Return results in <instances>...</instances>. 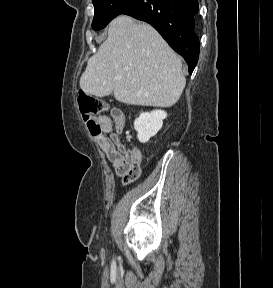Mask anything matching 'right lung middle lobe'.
Listing matches in <instances>:
<instances>
[{
	"instance_id": "obj_1",
	"label": "right lung middle lobe",
	"mask_w": 273,
	"mask_h": 288,
	"mask_svg": "<svg viewBox=\"0 0 273 288\" xmlns=\"http://www.w3.org/2000/svg\"><path fill=\"white\" fill-rule=\"evenodd\" d=\"M136 0H93L94 19L92 28H104L112 19L130 8Z\"/></svg>"
}]
</instances>
